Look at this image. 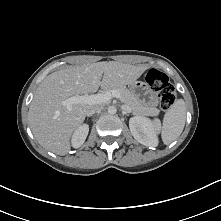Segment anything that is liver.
<instances>
[{"label":"liver","mask_w":221,"mask_h":221,"mask_svg":"<svg viewBox=\"0 0 221 221\" xmlns=\"http://www.w3.org/2000/svg\"><path fill=\"white\" fill-rule=\"evenodd\" d=\"M146 69L110 61L69 67L48 75L37 88L28 112L38 143L58 155L67 154L74 131L95 105L74 104L68 111L62 102L72 96L96 92L100 86L131 84Z\"/></svg>","instance_id":"obj_1"}]
</instances>
